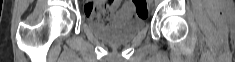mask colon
I'll use <instances>...</instances> for the list:
<instances>
[{
    "label": "colon",
    "mask_w": 235,
    "mask_h": 62,
    "mask_svg": "<svg viewBox=\"0 0 235 62\" xmlns=\"http://www.w3.org/2000/svg\"><path fill=\"white\" fill-rule=\"evenodd\" d=\"M135 11L140 16H147L148 7L146 0H133ZM87 16L93 18L104 24H108L111 21L112 12L106 3L96 2L86 10Z\"/></svg>",
    "instance_id": "5ec220e1"
}]
</instances>
